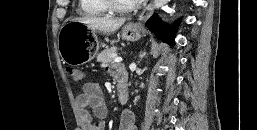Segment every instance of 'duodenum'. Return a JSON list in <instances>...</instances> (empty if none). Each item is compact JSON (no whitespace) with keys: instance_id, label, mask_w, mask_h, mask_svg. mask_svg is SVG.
Here are the masks:
<instances>
[{"instance_id":"410a0bca","label":"duodenum","mask_w":257,"mask_h":130,"mask_svg":"<svg viewBox=\"0 0 257 130\" xmlns=\"http://www.w3.org/2000/svg\"><path fill=\"white\" fill-rule=\"evenodd\" d=\"M118 80V79H117ZM118 100L123 105L126 104L129 98V90L125 80L119 79L117 85Z\"/></svg>"}]
</instances>
